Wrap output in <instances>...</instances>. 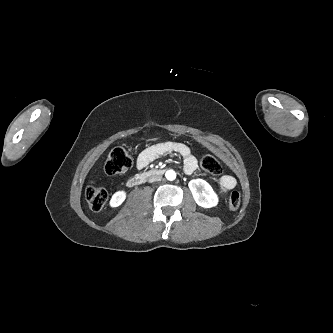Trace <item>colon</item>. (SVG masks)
Wrapping results in <instances>:
<instances>
[{
    "mask_svg": "<svg viewBox=\"0 0 333 333\" xmlns=\"http://www.w3.org/2000/svg\"><path fill=\"white\" fill-rule=\"evenodd\" d=\"M132 166V158L127 149L118 147L112 150L108 156L104 171L109 175L125 173ZM201 168L213 175H219L222 172L220 163L212 156L206 155L200 161ZM108 199L107 192L100 187L90 185L86 189V200L91 210L100 211L106 205ZM241 197L238 191H233L228 199V206L232 210L239 208Z\"/></svg>",
    "mask_w": 333,
    "mask_h": 333,
    "instance_id": "1",
    "label": "colon"
}]
</instances>
